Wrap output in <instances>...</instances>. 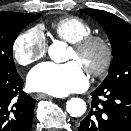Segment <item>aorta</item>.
Instances as JSON below:
<instances>
[{
	"label": "aorta",
	"instance_id": "762f6f07",
	"mask_svg": "<svg viewBox=\"0 0 131 131\" xmlns=\"http://www.w3.org/2000/svg\"><path fill=\"white\" fill-rule=\"evenodd\" d=\"M49 56L54 61H59L63 54V47L53 43L48 50ZM66 110L72 117H80L86 112V103L81 98H72L66 103Z\"/></svg>",
	"mask_w": 131,
	"mask_h": 131
}]
</instances>
